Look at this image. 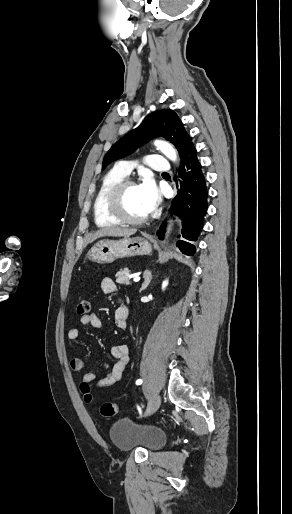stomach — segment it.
<instances>
[{"label":"stomach","mask_w":292,"mask_h":514,"mask_svg":"<svg viewBox=\"0 0 292 514\" xmlns=\"http://www.w3.org/2000/svg\"><path fill=\"white\" fill-rule=\"evenodd\" d=\"M152 246L145 238H123V240H100L92 248L89 260L97 264H112L118 258L148 256Z\"/></svg>","instance_id":"obj_1"}]
</instances>
